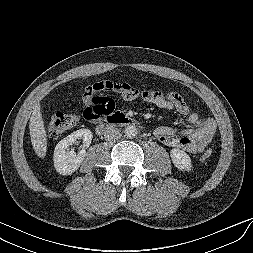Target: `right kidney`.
Wrapping results in <instances>:
<instances>
[{
  "label": "right kidney",
  "mask_w": 253,
  "mask_h": 253,
  "mask_svg": "<svg viewBox=\"0 0 253 253\" xmlns=\"http://www.w3.org/2000/svg\"><path fill=\"white\" fill-rule=\"evenodd\" d=\"M93 135L89 129H79L67 137L63 138L54 150V167L59 174L70 175L81 165L86 155V148L91 144ZM83 139V148L76 155L74 151H69V147L77 140Z\"/></svg>",
  "instance_id": "right-kidney-1"
}]
</instances>
